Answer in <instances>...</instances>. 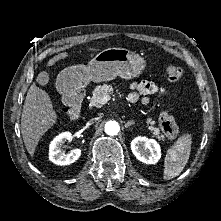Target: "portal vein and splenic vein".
<instances>
[{
    "instance_id": "1",
    "label": "portal vein and splenic vein",
    "mask_w": 221,
    "mask_h": 221,
    "mask_svg": "<svg viewBox=\"0 0 221 221\" xmlns=\"http://www.w3.org/2000/svg\"><path fill=\"white\" fill-rule=\"evenodd\" d=\"M110 99H111L110 95L106 94V95H103L100 101L102 104H106Z\"/></svg>"
}]
</instances>
